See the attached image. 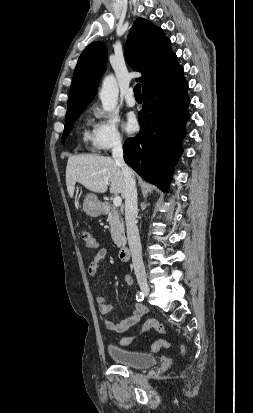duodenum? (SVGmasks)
Returning <instances> with one entry per match:
<instances>
[{
    "label": "duodenum",
    "mask_w": 253,
    "mask_h": 413,
    "mask_svg": "<svg viewBox=\"0 0 253 413\" xmlns=\"http://www.w3.org/2000/svg\"><path fill=\"white\" fill-rule=\"evenodd\" d=\"M119 258L122 261H127L130 258V249L128 245L123 244L119 249Z\"/></svg>",
    "instance_id": "obj_1"
}]
</instances>
